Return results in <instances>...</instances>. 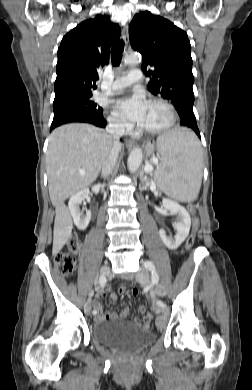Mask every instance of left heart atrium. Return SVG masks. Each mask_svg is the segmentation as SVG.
Listing matches in <instances>:
<instances>
[{
    "instance_id": "1",
    "label": "left heart atrium",
    "mask_w": 252,
    "mask_h": 390,
    "mask_svg": "<svg viewBox=\"0 0 252 390\" xmlns=\"http://www.w3.org/2000/svg\"><path fill=\"white\" fill-rule=\"evenodd\" d=\"M147 102L140 93L118 99L115 102L117 112L125 119L141 124L147 108Z\"/></svg>"
}]
</instances>
